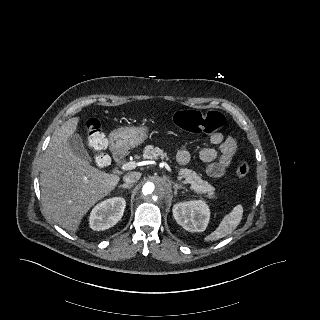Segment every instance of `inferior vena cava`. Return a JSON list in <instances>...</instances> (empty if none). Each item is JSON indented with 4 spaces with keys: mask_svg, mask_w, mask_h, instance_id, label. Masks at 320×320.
Returning a JSON list of instances; mask_svg holds the SVG:
<instances>
[{
    "mask_svg": "<svg viewBox=\"0 0 320 320\" xmlns=\"http://www.w3.org/2000/svg\"><path fill=\"white\" fill-rule=\"evenodd\" d=\"M141 177V173L139 172H128L124 177L123 180L127 184H132L137 182Z\"/></svg>",
    "mask_w": 320,
    "mask_h": 320,
    "instance_id": "obj_1",
    "label": "inferior vena cava"
}]
</instances>
